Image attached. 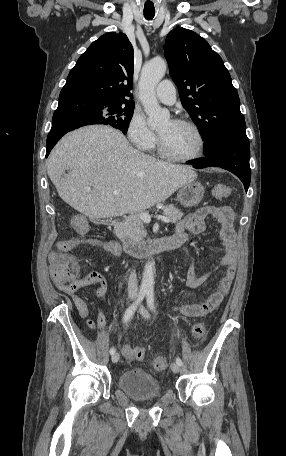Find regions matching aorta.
I'll use <instances>...</instances> for the list:
<instances>
[{
    "instance_id": "762f6f07",
    "label": "aorta",
    "mask_w": 286,
    "mask_h": 456,
    "mask_svg": "<svg viewBox=\"0 0 286 456\" xmlns=\"http://www.w3.org/2000/svg\"><path fill=\"white\" fill-rule=\"evenodd\" d=\"M166 69L167 64L161 58L152 59L142 68L139 81V98L148 115L149 126H158L170 118L169 111L160 107L155 95V88L164 77ZM141 289L144 291H153L154 289V269L151 261H148L144 266Z\"/></svg>"
}]
</instances>
